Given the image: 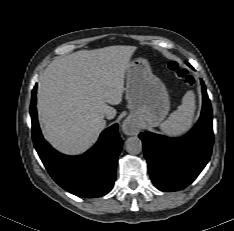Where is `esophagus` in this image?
Wrapping results in <instances>:
<instances>
[{
  "label": "esophagus",
  "mask_w": 234,
  "mask_h": 231,
  "mask_svg": "<svg viewBox=\"0 0 234 231\" xmlns=\"http://www.w3.org/2000/svg\"><path fill=\"white\" fill-rule=\"evenodd\" d=\"M124 131L126 134L133 135L136 134L139 130V126L136 122L127 119L123 125Z\"/></svg>",
  "instance_id": "esophagus-1"
}]
</instances>
